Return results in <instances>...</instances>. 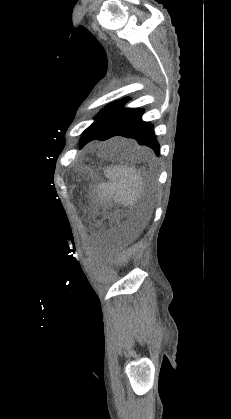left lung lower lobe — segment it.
Wrapping results in <instances>:
<instances>
[{
	"instance_id": "left-lung-lower-lobe-1",
	"label": "left lung lower lobe",
	"mask_w": 231,
	"mask_h": 419,
	"mask_svg": "<svg viewBox=\"0 0 231 419\" xmlns=\"http://www.w3.org/2000/svg\"><path fill=\"white\" fill-rule=\"evenodd\" d=\"M122 104L114 108L85 136L80 142V148L92 140L104 141L114 136H122L133 138L139 145L152 148L159 156L160 146L153 127L149 122H144L141 119L144 110L124 108Z\"/></svg>"
}]
</instances>
